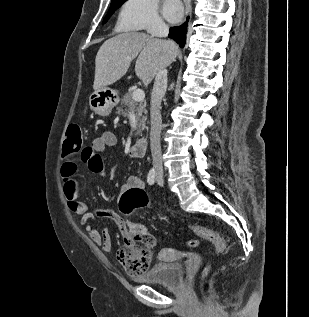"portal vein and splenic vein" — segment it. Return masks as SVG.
Listing matches in <instances>:
<instances>
[{"instance_id":"obj_1","label":"portal vein and splenic vein","mask_w":309,"mask_h":317,"mask_svg":"<svg viewBox=\"0 0 309 317\" xmlns=\"http://www.w3.org/2000/svg\"><path fill=\"white\" fill-rule=\"evenodd\" d=\"M145 98V93L142 89H136L132 93V99L136 102L143 101Z\"/></svg>"}]
</instances>
